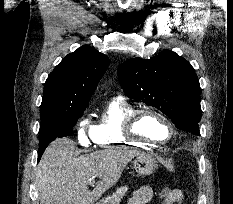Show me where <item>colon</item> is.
Wrapping results in <instances>:
<instances>
[{
    "mask_svg": "<svg viewBox=\"0 0 233 204\" xmlns=\"http://www.w3.org/2000/svg\"><path fill=\"white\" fill-rule=\"evenodd\" d=\"M162 204H178L180 196L177 193L176 189L165 188L161 193Z\"/></svg>",
    "mask_w": 233,
    "mask_h": 204,
    "instance_id": "1",
    "label": "colon"
}]
</instances>
